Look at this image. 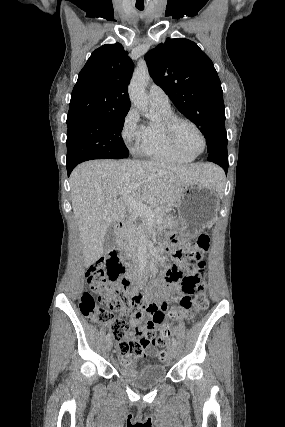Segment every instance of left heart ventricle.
Masks as SVG:
<instances>
[{"mask_svg":"<svg viewBox=\"0 0 285 427\" xmlns=\"http://www.w3.org/2000/svg\"><path fill=\"white\" fill-rule=\"evenodd\" d=\"M176 137L181 147L190 154L202 149V140L197 131L188 124H180L176 129Z\"/></svg>","mask_w":285,"mask_h":427,"instance_id":"b2bd125f","label":"left heart ventricle"}]
</instances>
